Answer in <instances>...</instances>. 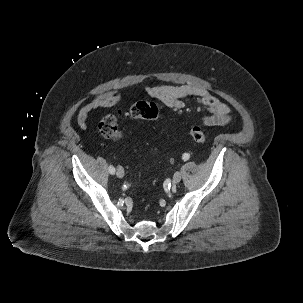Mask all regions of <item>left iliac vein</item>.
<instances>
[{"instance_id": "obj_1", "label": "left iliac vein", "mask_w": 303, "mask_h": 303, "mask_svg": "<svg viewBox=\"0 0 303 303\" xmlns=\"http://www.w3.org/2000/svg\"><path fill=\"white\" fill-rule=\"evenodd\" d=\"M181 178H182L181 172L180 171L175 172L173 175L172 183L175 185L178 184L181 181Z\"/></svg>"}]
</instances>
